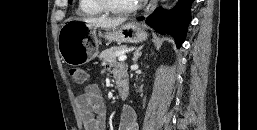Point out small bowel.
<instances>
[{
	"mask_svg": "<svg viewBox=\"0 0 257 130\" xmlns=\"http://www.w3.org/2000/svg\"><path fill=\"white\" fill-rule=\"evenodd\" d=\"M106 67L116 81H127L124 66L107 64ZM77 104L84 130L106 129V108L97 85H87L84 92L77 97ZM118 130H138L136 113L131 107L125 106L122 109Z\"/></svg>",
	"mask_w": 257,
	"mask_h": 130,
	"instance_id": "small-bowel-1",
	"label": "small bowel"
}]
</instances>
